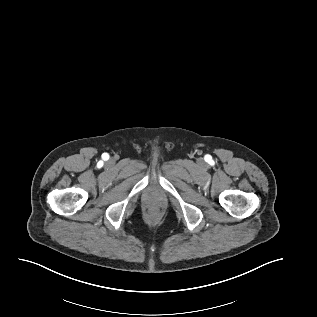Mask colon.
Listing matches in <instances>:
<instances>
[{
    "label": "colon",
    "mask_w": 317,
    "mask_h": 317,
    "mask_svg": "<svg viewBox=\"0 0 317 317\" xmlns=\"http://www.w3.org/2000/svg\"><path fill=\"white\" fill-rule=\"evenodd\" d=\"M151 216H152L153 218H156V217L158 216V213H157V212H153V213L151 214Z\"/></svg>",
    "instance_id": "5ec220e1"
}]
</instances>
